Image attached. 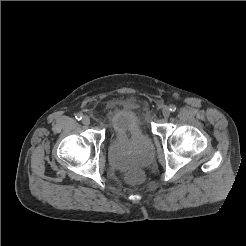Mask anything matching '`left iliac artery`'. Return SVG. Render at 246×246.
I'll list each match as a JSON object with an SVG mask.
<instances>
[{
	"label": "left iliac artery",
	"mask_w": 246,
	"mask_h": 246,
	"mask_svg": "<svg viewBox=\"0 0 246 246\" xmlns=\"http://www.w3.org/2000/svg\"><path fill=\"white\" fill-rule=\"evenodd\" d=\"M169 110H170L171 112H175V111H176V106H175V105H170V106H169Z\"/></svg>",
	"instance_id": "1"
}]
</instances>
